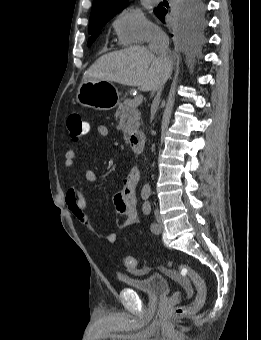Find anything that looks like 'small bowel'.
<instances>
[{"label":"small bowel","mask_w":261,"mask_h":340,"mask_svg":"<svg viewBox=\"0 0 261 340\" xmlns=\"http://www.w3.org/2000/svg\"><path fill=\"white\" fill-rule=\"evenodd\" d=\"M85 136L90 132V125L84 122ZM98 134L101 137L109 136V129L105 125H100L97 128ZM77 152L74 149H68L64 154V164L66 167L71 168L75 165ZM85 178L89 182H96L97 175L90 169H85ZM139 181V170L132 167L126 178L124 179L123 186L120 191L114 194L113 203L116 210L125 214V217L120 221L119 228L126 229L139 221V214L137 210V197L136 187ZM65 201L70 212L75 216L79 223L90 233L97 236L99 239L107 242L114 243L116 234L113 232L99 233L96 226L86 210V200L78 186L72 185L67 189ZM187 295H192L193 289L187 285Z\"/></svg>","instance_id":"small-bowel-1"}]
</instances>
